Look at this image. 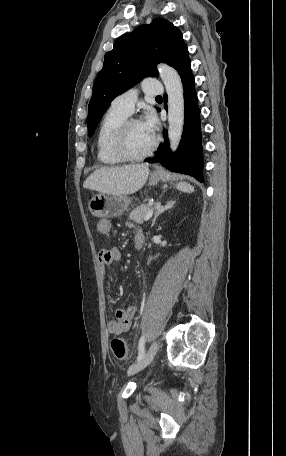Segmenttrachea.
<instances>
[{
    "mask_svg": "<svg viewBox=\"0 0 286 456\" xmlns=\"http://www.w3.org/2000/svg\"><path fill=\"white\" fill-rule=\"evenodd\" d=\"M156 98H162L161 96H157Z\"/></svg>",
    "mask_w": 286,
    "mask_h": 456,
    "instance_id": "1",
    "label": "trachea"
}]
</instances>
